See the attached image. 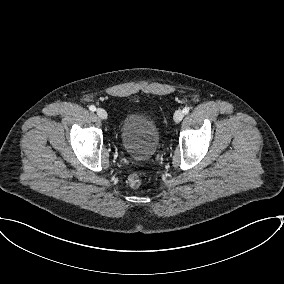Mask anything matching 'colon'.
Returning a JSON list of instances; mask_svg holds the SVG:
<instances>
[{"label":"colon","mask_w":284,"mask_h":284,"mask_svg":"<svg viewBox=\"0 0 284 284\" xmlns=\"http://www.w3.org/2000/svg\"><path fill=\"white\" fill-rule=\"evenodd\" d=\"M128 180H129V184L133 188H138L143 183V177L140 174H138V173H134V174L130 175Z\"/></svg>","instance_id":"obj_1"}]
</instances>
